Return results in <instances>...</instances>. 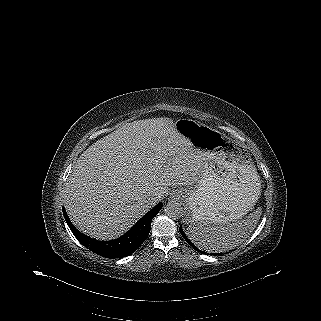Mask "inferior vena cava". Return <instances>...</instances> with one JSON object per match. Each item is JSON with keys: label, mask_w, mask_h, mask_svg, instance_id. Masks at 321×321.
Returning <instances> with one entry per match:
<instances>
[{"label": "inferior vena cava", "mask_w": 321, "mask_h": 321, "mask_svg": "<svg viewBox=\"0 0 321 321\" xmlns=\"http://www.w3.org/2000/svg\"><path fill=\"white\" fill-rule=\"evenodd\" d=\"M147 202L151 205H155L157 203V198L155 196H152L147 199Z\"/></svg>", "instance_id": "obj_1"}]
</instances>
